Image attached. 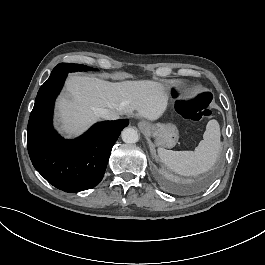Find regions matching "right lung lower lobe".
Wrapping results in <instances>:
<instances>
[{"label":"right lung lower lobe","instance_id":"right-lung-lower-lobe-1","mask_svg":"<svg viewBox=\"0 0 265 265\" xmlns=\"http://www.w3.org/2000/svg\"><path fill=\"white\" fill-rule=\"evenodd\" d=\"M67 74L41 86L27 127V147L36 170L65 192L93 188L103 178L112 146L128 120L95 124L80 138L65 140L52 127L53 107Z\"/></svg>","mask_w":265,"mask_h":265}]
</instances>
